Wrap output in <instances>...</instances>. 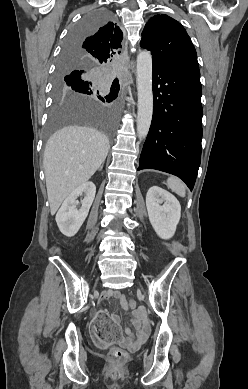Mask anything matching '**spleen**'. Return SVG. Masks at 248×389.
<instances>
[{"mask_svg":"<svg viewBox=\"0 0 248 389\" xmlns=\"http://www.w3.org/2000/svg\"><path fill=\"white\" fill-rule=\"evenodd\" d=\"M167 186L181 197H184L186 194L185 184L177 177H169L167 179Z\"/></svg>","mask_w":248,"mask_h":389,"instance_id":"obj_1","label":"spleen"}]
</instances>
